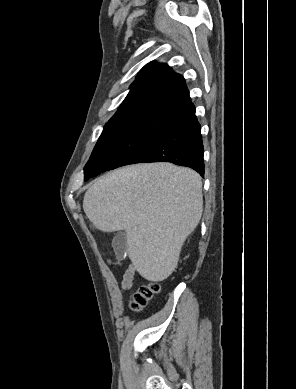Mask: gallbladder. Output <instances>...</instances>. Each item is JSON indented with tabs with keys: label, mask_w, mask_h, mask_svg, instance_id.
I'll return each instance as SVG.
<instances>
[{
	"label": "gallbladder",
	"mask_w": 296,
	"mask_h": 389,
	"mask_svg": "<svg viewBox=\"0 0 296 389\" xmlns=\"http://www.w3.org/2000/svg\"><path fill=\"white\" fill-rule=\"evenodd\" d=\"M112 246L118 258H123L127 252V235L124 231L115 234L112 240Z\"/></svg>",
	"instance_id": "1"
}]
</instances>
